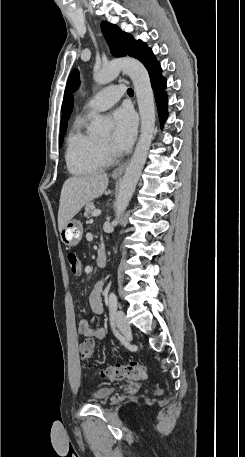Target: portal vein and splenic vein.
Here are the masks:
<instances>
[{
	"instance_id": "1",
	"label": "portal vein and splenic vein",
	"mask_w": 245,
	"mask_h": 457,
	"mask_svg": "<svg viewBox=\"0 0 245 457\" xmlns=\"http://www.w3.org/2000/svg\"><path fill=\"white\" fill-rule=\"evenodd\" d=\"M99 214H101V210H99V208L98 210H94L93 216H99Z\"/></svg>"
}]
</instances>
